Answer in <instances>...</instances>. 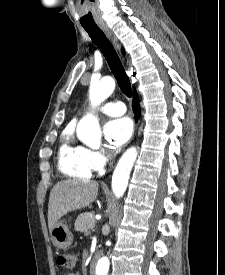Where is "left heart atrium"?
<instances>
[{
    "label": "left heart atrium",
    "instance_id": "obj_1",
    "mask_svg": "<svg viewBox=\"0 0 225 275\" xmlns=\"http://www.w3.org/2000/svg\"><path fill=\"white\" fill-rule=\"evenodd\" d=\"M133 125L129 118L110 120L104 127V135L110 146L117 150L131 138Z\"/></svg>",
    "mask_w": 225,
    "mask_h": 275
}]
</instances>
